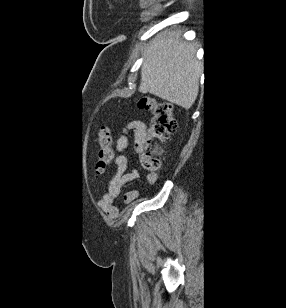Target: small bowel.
<instances>
[{"label":"small bowel","mask_w":286,"mask_h":308,"mask_svg":"<svg viewBox=\"0 0 286 308\" xmlns=\"http://www.w3.org/2000/svg\"><path fill=\"white\" fill-rule=\"evenodd\" d=\"M131 135L134 140V147L136 150H139L145 137H146V128L145 124L142 121H133L129 123L125 129L122 131L118 141H117V150L124 151L128 148L130 143ZM116 172L112 176L109 182L107 197L102 201L101 205L103 208L110 213L111 216L117 214V208L112 205L113 201L119 195L122 187L139 177V172L132 168L128 170V160L126 156L119 155L115 159ZM150 182H154L155 178L152 176L148 177ZM136 197V191H129L125 194V202H130Z\"/></svg>","instance_id":"obj_1"}]
</instances>
